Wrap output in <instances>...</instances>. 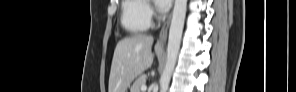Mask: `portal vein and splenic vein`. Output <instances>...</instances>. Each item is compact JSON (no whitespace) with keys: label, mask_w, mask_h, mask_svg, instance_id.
Here are the masks:
<instances>
[{"label":"portal vein and splenic vein","mask_w":296,"mask_h":92,"mask_svg":"<svg viewBox=\"0 0 296 92\" xmlns=\"http://www.w3.org/2000/svg\"><path fill=\"white\" fill-rule=\"evenodd\" d=\"M146 89H147L146 85H142V86H141V90H142L143 92L146 91Z\"/></svg>","instance_id":"18ae733b"}]
</instances>
